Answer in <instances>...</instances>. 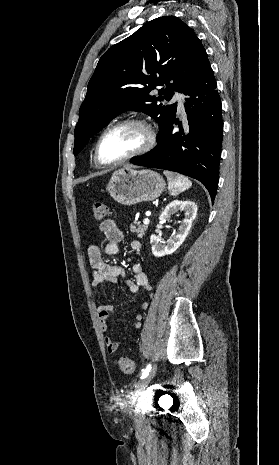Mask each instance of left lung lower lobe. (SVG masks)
Instances as JSON below:
<instances>
[{"mask_svg":"<svg viewBox=\"0 0 279 465\" xmlns=\"http://www.w3.org/2000/svg\"><path fill=\"white\" fill-rule=\"evenodd\" d=\"M207 53L184 89L188 129L173 132L174 119L157 146L131 159L135 165L175 171L199 180L214 201L223 137L221 101Z\"/></svg>","mask_w":279,"mask_h":465,"instance_id":"left-lung-lower-lobe-1","label":"left lung lower lobe"}]
</instances>
